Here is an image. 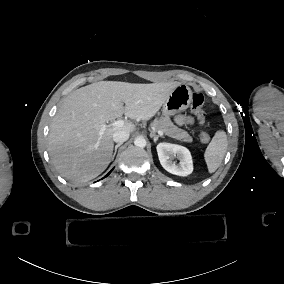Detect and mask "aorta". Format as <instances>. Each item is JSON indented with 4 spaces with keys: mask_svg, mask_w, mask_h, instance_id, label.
I'll list each match as a JSON object with an SVG mask.
<instances>
[{
    "mask_svg": "<svg viewBox=\"0 0 284 284\" xmlns=\"http://www.w3.org/2000/svg\"><path fill=\"white\" fill-rule=\"evenodd\" d=\"M146 143L147 142H146L145 138L142 137V136L136 137L135 140H134L135 146L140 147V148L145 147Z\"/></svg>",
    "mask_w": 284,
    "mask_h": 284,
    "instance_id": "obj_1",
    "label": "aorta"
}]
</instances>
